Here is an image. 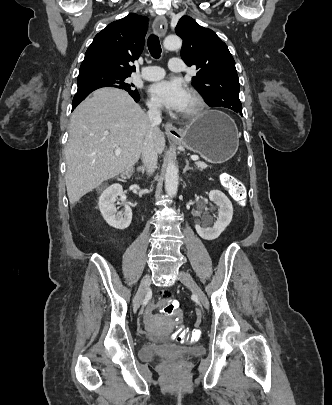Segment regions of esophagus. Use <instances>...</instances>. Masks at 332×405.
I'll return each instance as SVG.
<instances>
[{
	"instance_id": "1",
	"label": "esophagus",
	"mask_w": 332,
	"mask_h": 405,
	"mask_svg": "<svg viewBox=\"0 0 332 405\" xmlns=\"http://www.w3.org/2000/svg\"><path fill=\"white\" fill-rule=\"evenodd\" d=\"M167 27H168L167 20L164 16H159L155 19L154 24H153V29H154V32L156 34H158L160 37L165 36V34L167 32ZM164 130H165V133L171 137H176V136L181 135V132L169 122L164 124Z\"/></svg>"
}]
</instances>
